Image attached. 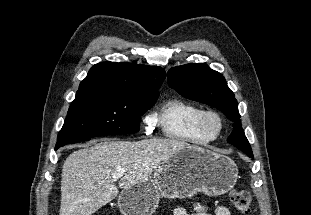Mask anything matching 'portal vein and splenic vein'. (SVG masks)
<instances>
[{"label": "portal vein and splenic vein", "mask_w": 311, "mask_h": 215, "mask_svg": "<svg viewBox=\"0 0 311 215\" xmlns=\"http://www.w3.org/2000/svg\"><path fill=\"white\" fill-rule=\"evenodd\" d=\"M124 173H125V170H123V169L117 170L116 172L113 173V178L119 179L124 175Z\"/></svg>", "instance_id": "1"}]
</instances>
